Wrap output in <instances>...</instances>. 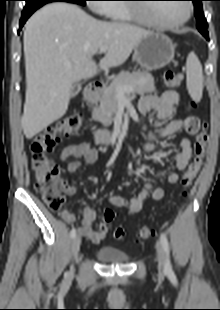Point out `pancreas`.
I'll use <instances>...</instances> for the list:
<instances>
[{
  "instance_id": "1",
  "label": "pancreas",
  "mask_w": 220,
  "mask_h": 310,
  "mask_svg": "<svg viewBox=\"0 0 220 310\" xmlns=\"http://www.w3.org/2000/svg\"><path fill=\"white\" fill-rule=\"evenodd\" d=\"M132 87L133 91L125 93L130 96L133 93L143 95L155 91L153 76L144 71L125 72L119 74L110 85H108L102 95L99 97V105L93 108L92 117L94 120L101 122L104 126L108 127L112 124L113 115L117 111L118 99L116 95V88Z\"/></svg>"
}]
</instances>
